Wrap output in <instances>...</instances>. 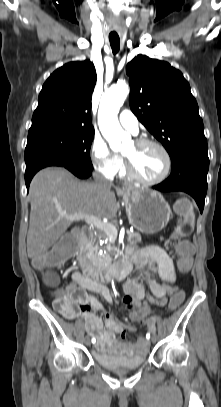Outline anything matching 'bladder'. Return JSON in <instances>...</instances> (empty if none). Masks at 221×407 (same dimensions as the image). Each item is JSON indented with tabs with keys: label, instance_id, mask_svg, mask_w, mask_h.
Segmentation results:
<instances>
[{
	"label": "bladder",
	"instance_id": "bladder-1",
	"mask_svg": "<svg viewBox=\"0 0 221 407\" xmlns=\"http://www.w3.org/2000/svg\"><path fill=\"white\" fill-rule=\"evenodd\" d=\"M92 356L94 361L98 365L110 371H125L137 369L141 367L146 361L145 352L133 355L131 357H125L118 353H104L94 351Z\"/></svg>",
	"mask_w": 221,
	"mask_h": 407
}]
</instances>
